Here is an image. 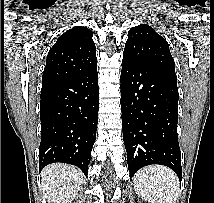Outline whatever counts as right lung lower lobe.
<instances>
[{
  "label": "right lung lower lobe",
  "instance_id": "right-lung-lower-lobe-1",
  "mask_svg": "<svg viewBox=\"0 0 214 203\" xmlns=\"http://www.w3.org/2000/svg\"><path fill=\"white\" fill-rule=\"evenodd\" d=\"M96 66L41 90L40 170L62 162L79 167L87 176L99 109Z\"/></svg>",
  "mask_w": 214,
  "mask_h": 203
}]
</instances>
